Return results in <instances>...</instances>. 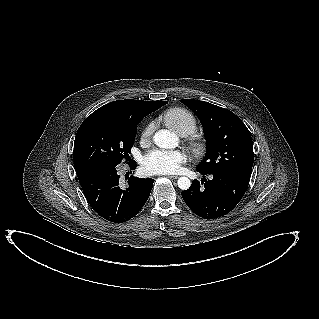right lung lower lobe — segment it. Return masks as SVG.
<instances>
[{"label":"right lung lower lobe","mask_w":319,"mask_h":319,"mask_svg":"<svg viewBox=\"0 0 319 319\" xmlns=\"http://www.w3.org/2000/svg\"><path fill=\"white\" fill-rule=\"evenodd\" d=\"M136 168L135 161L129 163ZM84 195L93 210L106 221L123 223L144 206L153 187V179L131 178L121 189L116 167L95 168L78 176Z\"/></svg>","instance_id":"right-lung-lower-lobe-1"}]
</instances>
